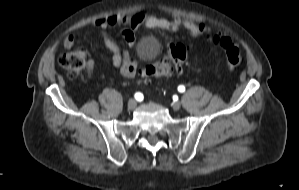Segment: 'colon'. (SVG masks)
<instances>
[{
  "label": "colon",
  "mask_w": 299,
  "mask_h": 190,
  "mask_svg": "<svg viewBox=\"0 0 299 190\" xmlns=\"http://www.w3.org/2000/svg\"><path fill=\"white\" fill-rule=\"evenodd\" d=\"M210 42L224 50L226 63L229 68H236L242 63V55L233 41L225 36L213 35ZM190 47L183 43H174L166 54L153 64L147 65L140 71V80L150 82L154 78L170 76L173 72H180L186 63ZM88 52L83 46H72L60 56L59 63L66 70L69 78L76 80L81 77L86 67Z\"/></svg>",
  "instance_id": "obj_1"
}]
</instances>
